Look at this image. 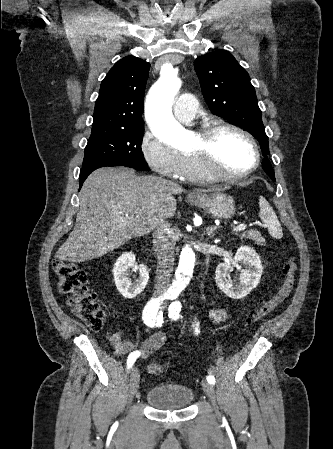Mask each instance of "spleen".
Listing matches in <instances>:
<instances>
[{
    "instance_id": "1",
    "label": "spleen",
    "mask_w": 333,
    "mask_h": 449,
    "mask_svg": "<svg viewBox=\"0 0 333 449\" xmlns=\"http://www.w3.org/2000/svg\"><path fill=\"white\" fill-rule=\"evenodd\" d=\"M259 208L260 219L267 226L269 233L274 238L281 239L283 232L278 217L269 202L263 196H260L259 198Z\"/></svg>"
}]
</instances>
